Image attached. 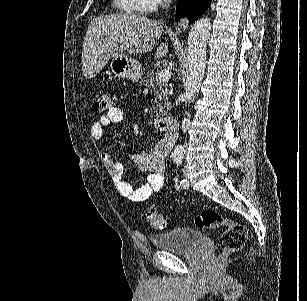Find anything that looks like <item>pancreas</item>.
<instances>
[{
  "label": "pancreas",
  "instance_id": "obj_1",
  "mask_svg": "<svg viewBox=\"0 0 307 301\" xmlns=\"http://www.w3.org/2000/svg\"><path fill=\"white\" fill-rule=\"evenodd\" d=\"M156 78V72L149 70V72H145L140 82L144 86H147V88H153L156 96L154 100L155 106H152L153 112L164 116L170 110V90L167 82H164V80H156Z\"/></svg>",
  "mask_w": 307,
  "mask_h": 301
}]
</instances>
